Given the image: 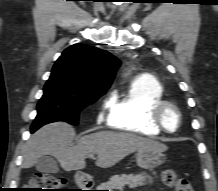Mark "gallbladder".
I'll return each mask as SVG.
<instances>
[{
	"label": "gallbladder",
	"mask_w": 218,
	"mask_h": 191,
	"mask_svg": "<svg viewBox=\"0 0 218 191\" xmlns=\"http://www.w3.org/2000/svg\"><path fill=\"white\" fill-rule=\"evenodd\" d=\"M36 170L41 173H57L59 171L56 160L49 155L40 157L36 162Z\"/></svg>",
	"instance_id": "obj_1"
}]
</instances>
